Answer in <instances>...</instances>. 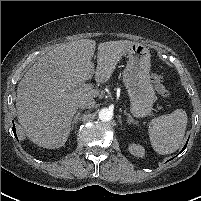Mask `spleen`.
Here are the masks:
<instances>
[{
    "label": "spleen",
    "mask_w": 201,
    "mask_h": 201,
    "mask_svg": "<svg viewBox=\"0 0 201 201\" xmlns=\"http://www.w3.org/2000/svg\"><path fill=\"white\" fill-rule=\"evenodd\" d=\"M187 121L183 109L152 119L148 133L153 149L159 154H171L178 150L183 142Z\"/></svg>",
    "instance_id": "spleen-1"
}]
</instances>
